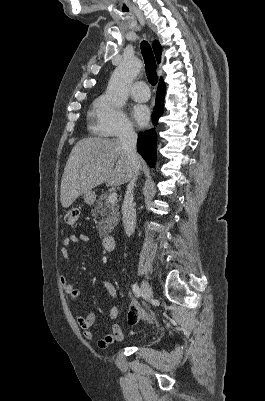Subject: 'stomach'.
<instances>
[{
  "label": "stomach",
  "mask_w": 265,
  "mask_h": 401,
  "mask_svg": "<svg viewBox=\"0 0 265 401\" xmlns=\"http://www.w3.org/2000/svg\"><path fill=\"white\" fill-rule=\"evenodd\" d=\"M83 198L85 203H87V205H93L96 198V194L94 190H88V192H83Z\"/></svg>",
  "instance_id": "stomach-1"
}]
</instances>
